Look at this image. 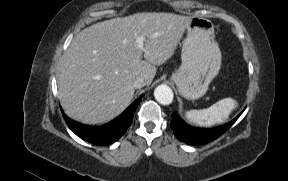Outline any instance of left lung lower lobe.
Listing matches in <instances>:
<instances>
[{
  "mask_svg": "<svg viewBox=\"0 0 288 181\" xmlns=\"http://www.w3.org/2000/svg\"><path fill=\"white\" fill-rule=\"evenodd\" d=\"M241 115V114H240ZM214 128H196L186 124L178 115L172 114L171 128L175 136L190 145H202L217 139L225 133L238 119Z\"/></svg>",
  "mask_w": 288,
  "mask_h": 181,
  "instance_id": "left-lung-lower-lobe-1",
  "label": "left lung lower lobe"
}]
</instances>
